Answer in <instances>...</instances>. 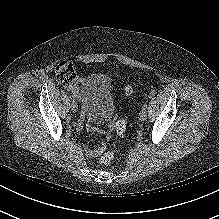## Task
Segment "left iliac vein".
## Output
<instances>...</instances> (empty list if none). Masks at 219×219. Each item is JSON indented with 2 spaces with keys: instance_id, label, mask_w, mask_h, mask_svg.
Segmentation results:
<instances>
[{
  "instance_id": "4c4485c4",
  "label": "left iliac vein",
  "mask_w": 219,
  "mask_h": 219,
  "mask_svg": "<svg viewBox=\"0 0 219 219\" xmlns=\"http://www.w3.org/2000/svg\"><path fill=\"white\" fill-rule=\"evenodd\" d=\"M139 115H140V120H141V121H144V120H146V117H147V111L144 110V109H142V110L140 111Z\"/></svg>"
}]
</instances>
